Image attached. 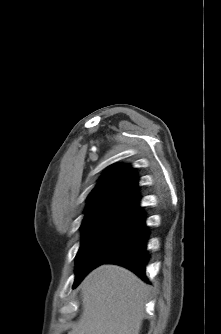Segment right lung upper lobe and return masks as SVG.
<instances>
[{
	"mask_svg": "<svg viewBox=\"0 0 221 334\" xmlns=\"http://www.w3.org/2000/svg\"><path fill=\"white\" fill-rule=\"evenodd\" d=\"M137 175L129 165L109 168L88 196L84 221L96 216L128 215L144 217L139 207Z\"/></svg>",
	"mask_w": 221,
	"mask_h": 334,
	"instance_id": "1",
	"label": "right lung upper lobe"
}]
</instances>
